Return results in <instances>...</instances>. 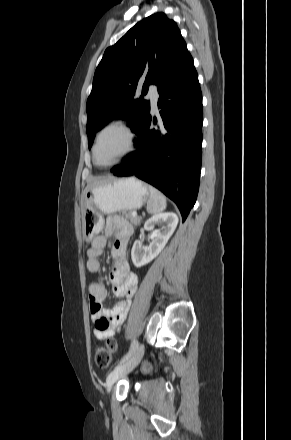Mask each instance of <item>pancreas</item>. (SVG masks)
Listing matches in <instances>:
<instances>
[{
	"label": "pancreas",
	"instance_id": "1",
	"mask_svg": "<svg viewBox=\"0 0 291 440\" xmlns=\"http://www.w3.org/2000/svg\"><path fill=\"white\" fill-rule=\"evenodd\" d=\"M121 213L130 220V222L135 225L138 226L140 224L141 219L139 217H133L132 216V212L131 211H121Z\"/></svg>",
	"mask_w": 291,
	"mask_h": 440
}]
</instances>
